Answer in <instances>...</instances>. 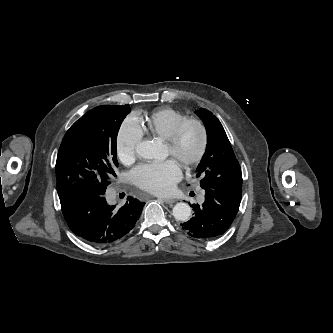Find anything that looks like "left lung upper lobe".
<instances>
[{"label":"left lung upper lobe","instance_id":"1","mask_svg":"<svg viewBox=\"0 0 333 333\" xmlns=\"http://www.w3.org/2000/svg\"><path fill=\"white\" fill-rule=\"evenodd\" d=\"M195 113L205 124L207 132L206 152L196 170V177L202 178L201 187L242 188L241 168L222 124L207 109L200 108Z\"/></svg>","mask_w":333,"mask_h":333}]
</instances>
